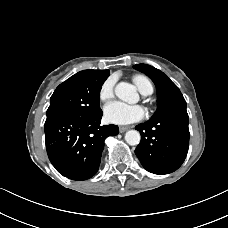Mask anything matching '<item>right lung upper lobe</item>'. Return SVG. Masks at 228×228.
<instances>
[{
  "label": "right lung upper lobe",
  "instance_id": "right-lung-upper-lobe-1",
  "mask_svg": "<svg viewBox=\"0 0 228 228\" xmlns=\"http://www.w3.org/2000/svg\"><path fill=\"white\" fill-rule=\"evenodd\" d=\"M92 71H94V70L89 69V70L80 71V73H81V74H86V73H90V72H92Z\"/></svg>",
  "mask_w": 228,
  "mask_h": 228
}]
</instances>
